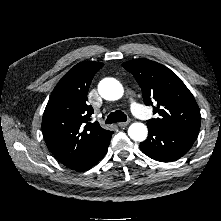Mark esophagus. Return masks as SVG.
I'll return each mask as SVG.
<instances>
[{
  "instance_id": "obj_1",
  "label": "esophagus",
  "mask_w": 221,
  "mask_h": 221,
  "mask_svg": "<svg viewBox=\"0 0 221 221\" xmlns=\"http://www.w3.org/2000/svg\"><path fill=\"white\" fill-rule=\"evenodd\" d=\"M129 123H130L129 120H128V121H125V122H119V123H118V126H119V127H125V126H127Z\"/></svg>"
}]
</instances>
